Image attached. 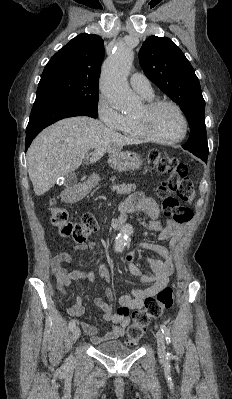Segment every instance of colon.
I'll return each mask as SVG.
<instances>
[{
  "mask_svg": "<svg viewBox=\"0 0 232 399\" xmlns=\"http://www.w3.org/2000/svg\"><path fill=\"white\" fill-rule=\"evenodd\" d=\"M149 160L153 163L156 172H166V186L159 185L155 189L158 203H164L162 212L166 218H176V222H189V218H193L190 207H184L183 203H178V198L182 202L190 200L191 196H197V186H193L189 181L185 163H179L175 157L161 155L158 151H153L149 155ZM184 180V181H179ZM166 196H178V198H164ZM50 208H55V203H50ZM55 219L53 227H60L59 236L61 239H75L76 244H86L89 235L98 232L97 223L94 222V215H81V222H74L68 215V211L59 209L55 211ZM160 294H171V289H160ZM145 301H171V296H145ZM147 311H134L132 315L133 322L136 325H130V333L123 337V342L128 347H135L138 338H143L144 325H149V320H157V316H161V312L165 308H170V303H144Z\"/></svg>",
  "mask_w": 232,
  "mask_h": 399,
  "instance_id": "5ec220e1",
  "label": "colon"
}]
</instances>
